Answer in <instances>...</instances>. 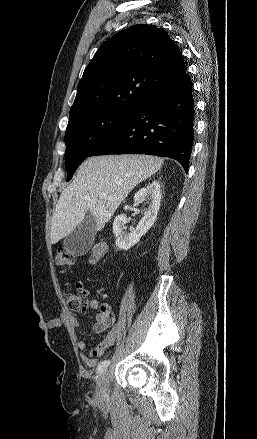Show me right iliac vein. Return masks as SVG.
Wrapping results in <instances>:
<instances>
[{"instance_id": "right-iliac-vein-1", "label": "right iliac vein", "mask_w": 257, "mask_h": 439, "mask_svg": "<svg viewBox=\"0 0 257 439\" xmlns=\"http://www.w3.org/2000/svg\"><path fill=\"white\" fill-rule=\"evenodd\" d=\"M108 373L105 371L99 378L96 388V399L98 401H105L108 398Z\"/></svg>"}]
</instances>
